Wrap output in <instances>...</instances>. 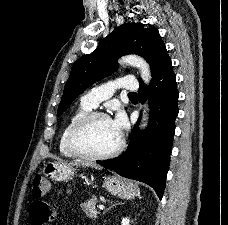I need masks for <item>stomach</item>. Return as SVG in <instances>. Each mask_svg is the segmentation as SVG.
<instances>
[{"label": "stomach", "instance_id": "obj_1", "mask_svg": "<svg viewBox=\"0 0 228 225\" xmlns=\"http://www.w3.org/2000/svg\"><path fill=\"white\" fill-rule=\"evenodd\" d=\"M76 171L77 169H73L70 165L52 161V163L44 165L43 175L58 183V181H67L69 177L75 175ZM103 187L110 195L119 197V199H134L139 193L137 185H133L131 181H122L120 177H104Z\"/></svg>", "mask_w": 228, "mask_h": 225}]
</instances>
